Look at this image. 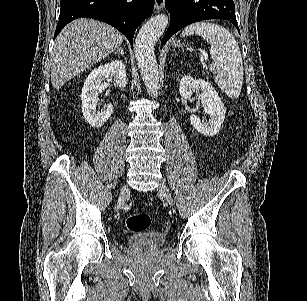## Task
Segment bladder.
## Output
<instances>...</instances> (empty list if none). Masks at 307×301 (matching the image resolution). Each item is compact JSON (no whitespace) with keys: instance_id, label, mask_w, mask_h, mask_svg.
Masks as SVG:
<instances>
[{"instance_id":"obj_1","label":"bladder","mask_w":307,"mask_h":301,"mask_svg":"<svg viewBox=\"0 0 307 301\" xmlns=\"http://www.w3.org/2000/svg\"><path fill=\"white\" fill-rule=\"evenodd\" d=\"M126 241L131 246H162L164 243H166V236L162 232L148 230L145 232L136 233L130 238H126Z\"/></svg>"}]
</instances>
